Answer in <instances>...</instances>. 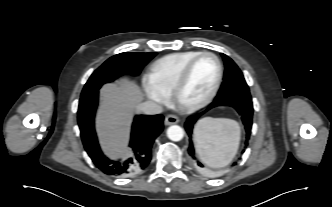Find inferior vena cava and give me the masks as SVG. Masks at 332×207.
Returning <instances> with one entry per match:
<instances>
[{
	"label": "inferior vena cava",
	"mask_w": 332,
	"mask_h": 207,
	"mask_svg": "<svg viewBox=\"0 0 332 207\" xmlns=\"http://www.w3.org/2000/svg\"><path fill=\"white\" fill-rule=\"evenodd\" d=\"M137 111L146 115H154L162 113L163 108L153 101H146L137 106Z\"/></svg>",
	"instance_id": "1"
}]
</instances>
